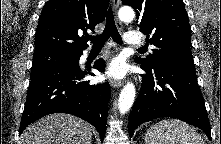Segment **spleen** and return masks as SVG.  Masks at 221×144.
Returning a JSON list of instances; mask_svg holds the SVG:
<instances>
[{
  "mask_svg": "<svg viewBox=\"0 0 221 144\" xmlns=\"http://www.w3.org/2000/svg\"><path fill=\"white\" fill-rule=\"evenodd\" d=\"M146 144H205L201 135L189 124L178 119H163L145 135Z\"/></svg>",
  "mask_w": 221,
  "mask_h": 144,
  "instance_id": "obj_1",
  "label": "spleen"
}]
</instances>
